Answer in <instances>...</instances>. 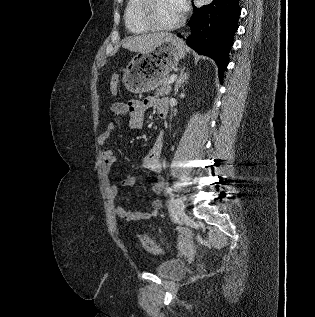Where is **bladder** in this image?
Masks as SVG:
<instances>
[{
	"label": "bladder",
	"instance_id": "1",
	"mask_svg": "<svg viewBox=\"0 0 315 317\" xmlns=\"http://www.w3.org/2000/svg\"><path fill=\"white\" fill-rule=\"evenodd\" d=\"M186 271V263L178 258L169 259L159 263L155 267V273L163 278L176 279L181 277Z\"/></svg>",
	"mask_w": 315,
	"mask_h": 317
}]
</instances>
